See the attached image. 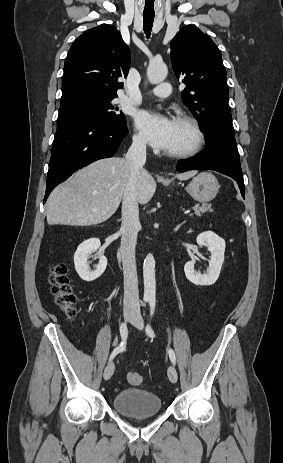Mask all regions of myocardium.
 Segmentation results:
<instances>
[{
    "label": "myocardium",
    "instance_id": "obj_1",
    "mask_svg": "<svg viewBox=\"0 0 283 463\" xmlns=\"http://www.w3.org/2000/svg\"><path fill=\"white\" fill-rule=\"evenodd\" d=\"M176 121L183 123L191 130L194 137L193 143L186 149L172 152L167 151L165 154L176 159H184L196 155L202 149L204 144V132L200 123L197 119L190 115H179L176 118Z\"/></svg>",
    "mask_w": 283,
    "mask_h": 463
}]
</instances>
